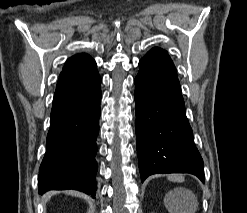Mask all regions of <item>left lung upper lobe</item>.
I'll return each mask as SVG.
<instances>
[{"label":"left lung upper lobe","mask_w":247,"mask_h":213,"mask_svg":"<svg viewBox=\"0 0 247 213\" xmlns=\"http://www.w3.org/2000/svg\"><path fill=\"white\" fill-rule=\"evenodd\" d=\"M161 51H164V50L161 49V48L155 47V48L151 49L148 53H157V52H161ZM148 53H147V54H148Z\"/></svg>","instance_id":"obj_1"}]
</instances>
